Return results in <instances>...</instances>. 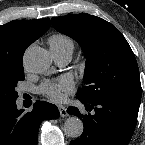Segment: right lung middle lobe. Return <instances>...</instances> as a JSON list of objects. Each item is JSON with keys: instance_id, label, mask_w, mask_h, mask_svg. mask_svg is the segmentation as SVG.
I'll use <instances>...</instances> for the list:
<instances>
[{"instance_id": "dd1d6c3e", "label": "right lung middle lobe", "mask_w": 145, "mask_h": 145, "mask_svg": "<svg viewBox=\"0 0 145 145\" xmlns=\"http://www.w3.org/2000/svg\"><path fill=\"white\" fill-rule=\"evenodd\" d=\"M25 79L23 68L0 79V102L16 101L18 94L15 91L18 81Z\"/></svg>"}]
</instances>
